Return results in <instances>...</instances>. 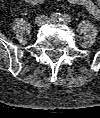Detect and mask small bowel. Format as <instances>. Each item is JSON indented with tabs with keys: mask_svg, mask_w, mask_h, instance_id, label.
Segmentation results:
<instances>
[{
	"mask_svg": "<svg viewBox=\"0 0 100 118\" xmlns=\"http://www.w3.org/2000/svg\"><path fill=\"white\" fill-rule=\"evenodd\" d=\"M23 1L36 5L42 3L44 0H23ZM57 1H62V0H57ZM65 1L83 7L96 19L100 18V7L92 0H65Z\"/></svg>",
	"mask_w": 100,
	"mask_h": 118,
	"instance_id": "1",
	"label": "small bowel"
}]
</instances>
